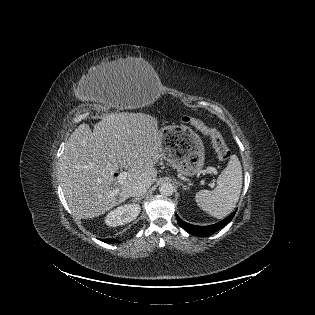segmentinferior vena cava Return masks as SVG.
Here are the masks:
<instances>
[{"label": "inferior vena cava", "instance_id": "602c4592", "mask_svg": "<svg viewBox=\"0 0 315 315\" xmlns=\"http://www.w3.org/2000/svg\"><path fill=\"white\" fill-rule=\"evenodd\" d=\"M150 186H151V182L149 181H143L136 184L131 191V196L136 197V198L143 196L147 192Z\"/></svg>", "mask_w": 315, "mask_h": 315}]
</instances>
